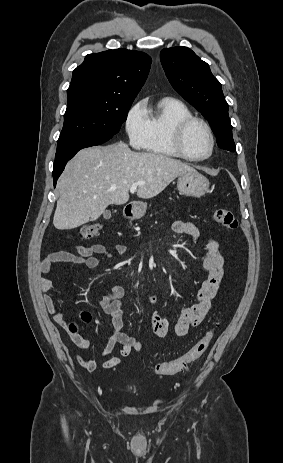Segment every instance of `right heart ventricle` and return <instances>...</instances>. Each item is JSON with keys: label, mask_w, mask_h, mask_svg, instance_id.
Returning <instances> with one entry per match:
<instances>
[{"label": "right heart ventricle", "mask_w": 283, "mask_h": 463, "mask_svg": "<svg viewBox=\"0 0 283 463\" xmlns=\"http://www.w3.org/2000/svg\"><path fill=\"white\" fill-rule=\"evenodd\" d=\"M147 137L143 148L154 155L177 158L172 139L175 127L182 120L191 117L192 112L182 101L162 98L154 107L146 108Z\"/></svg>", "instance_id": "1"}]
</instances>
